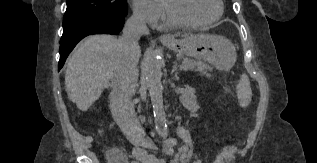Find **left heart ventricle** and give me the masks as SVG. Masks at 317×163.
I'll return each mask as SVG.
<instances>
[{
  "label": "left heart ventricle",
  "instance_id": "obj_1",
  "mask_svg": "<svg viewBox=\"0 0 317 163\" xmlns=\"http://www.w3.org/2000/svg\"><path fill=\"white\" fill-rule=\"evenodd\" d=\"M187 21L209 20L218 13L217 0H163Z\"/></svg>",
  "mask_w": 317,
  "mask_h": 163
}]
</instances>
